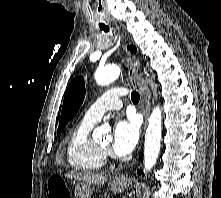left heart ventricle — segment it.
I'll return each instance as SVG.
<instances>
[{"mask_svg":"<svg viewBox=\"0 0 221 198\" xmlns=\"http://www.w3.org/2000/svg\"><path fill=\"white\" fill-rule=\"evenodd\" d=\"M108 144H109V142L104 143V145H108Z\"/></svg>","mask_w":221,"mask_h":198,"instance_id":"1","label":"left heart ventricle"}]
</instances>
